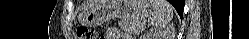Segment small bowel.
Returning <instances> with one entry per match:
<instances>
[{"instance_id":"1","label":"small bowel","mask_w":249,"mask_h":39,"mask_svg":"<svg viewBox=\"0 0 249 39\" xmlns=\"http://www.w3.org/2000/svg\"><path fill=\"white\" fill-rule=\"evenodd\" d=\"M101 39H120V33L117 28H109Z\"/></svg>"}]
</instances>
